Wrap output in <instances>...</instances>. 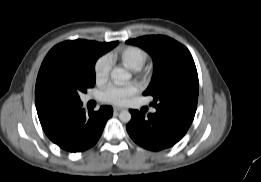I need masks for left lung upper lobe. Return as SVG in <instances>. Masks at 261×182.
I'll list each match as a JSON object with an SVG mask.
<instances>
[{"mask_svg":"<svg viewBox=\"0 0 261 182\" xmlns=\"http://www.w3.org/2000/svg\"><path fill=\"white\" fill-rule=\"evenodd\" d=\"M141 47L154 61L151 83L143 93L152 95L156 110L196 112L198 74L192 55L179 42L162 35L127 40Z\"/></svg>","mask_w":261,"mask_h":182,"instance_id":"obj_1","label":"left lung upper lobe"}]
</instances>
